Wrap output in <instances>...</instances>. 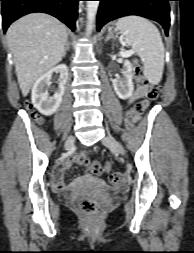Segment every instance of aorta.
<instances>
[{
  "label": "aorta",
  "mask_w": 194,
  "mask_h": 253,
  "mask_svg": "<svg viewBox=\"0 0 194 253\" xmlns=\"http://www.w3.org/2000/svg\"><path fill=\"white\" fill-rule=\"evenodd\" d=\"M99 7V1H87V28L86 34L90 35L93 30V24Z\"/></svg>",
  "instance_id": "1"
}]
</instances>
